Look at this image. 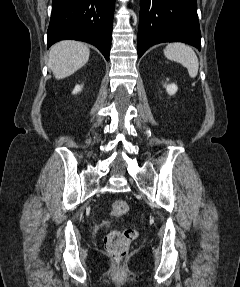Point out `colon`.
I'll list each match as a JSON object with an SVG mask.
<instances>
[{"label":"colon","mask_w":240,"mask_h":287,"mask_svg":"<svg viewBox=\"0 0 240 287\" xmlns=\"http://www.w3.org/2000/svg\"><path fill=\"white\" fill-rule=\"evenodd\" d=\"M129 205L124 200H117L111 207L113 217H121L128 213ZM137 233L133 229L112 231L104 237V246L108 255L117 264H120L127 256L131 242L136 238Z\"/></svg>","instance_id":"1"}]
</instances>
